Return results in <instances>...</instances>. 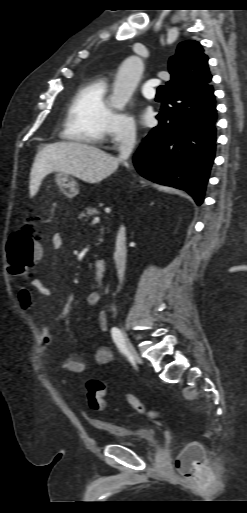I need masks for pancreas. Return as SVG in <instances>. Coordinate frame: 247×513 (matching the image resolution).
<instances>
[{
  "mask_svg": "<svg viewBox=\"0 0 247 513\" xmlns=\"http://www.w3.org/2000/svg\"><path fill=\"white\" fill-rule=\"evenodd\" d=\"M96 214H98V211H97V209H96V208L87 207V208L85 209V211H83V212H81V213L79 214V217H78V218H79L80 220H83V221H88V219H89L91 216L96 215Z\"/></svg>",
  "mask_w": 247,
  "mask_h": 513,
  "instance_id": "1",
  "label": "pancreas"
}]
</instances>
